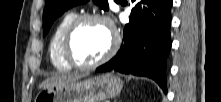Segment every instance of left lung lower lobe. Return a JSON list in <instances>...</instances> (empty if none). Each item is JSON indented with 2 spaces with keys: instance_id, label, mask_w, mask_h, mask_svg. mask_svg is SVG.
Returning a JSON list of instances; mask_svg holds the SVG:
<instances>
[{
  "instance_id": "0a47b994",
  "label": "left lung lower lobe",
  "mask_w": 221,
  "mask_h": 102,
  "mask_svg": "<svg viewBox=\"0 0 221 102\" xmlns=\"http://www.w3.org/2000/svg\"><path fill=\"white\" fill-rule=\"evenodd\" d=\"M135 3V0L131 1ZM172 0H139L124 28V41L117 55L97 68L146 76L166 92V59L171 48Z\"/></svg>"
}]
</instances>
